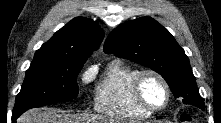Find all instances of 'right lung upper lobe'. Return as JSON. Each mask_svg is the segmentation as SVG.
I'll return each instance as SVG.
<instances>
[{"label":"right lung upper lobe","mask_w":221,"mask_h":123,"mask_svg":"<svg viewBox=\"0 0 221 123\" xmlns=\"http://www.w3.org/2000/svg\"><path fill=\"white\" fill-rule=\"evenodd\" d=\"M103 37V30L94 21L76 17L44 43L34 59L85 62Z\"/></svg>","instance_id":"obj_1"}]
</instances>
